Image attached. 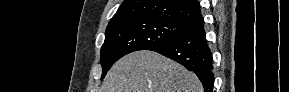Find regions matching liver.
Returning a JSON list of instances; mask_svg holds the SVG:
<instances>
[{
  "label": "liver",
  "mask_w": 289,
  "mask_h": 92,
  "mask_svg": "<svg viewBox=\"0 0 289 92\" xmlns=\"http://www.w3.org/2000/svg\"><path fill=\"white\" fill-rule=\"evenodd\" d=\"M102 92H203L197 76L159 53L143 50L118 60Z\"/></svg>",
  "instance_id": "6515ba94"
}]
</instances>
